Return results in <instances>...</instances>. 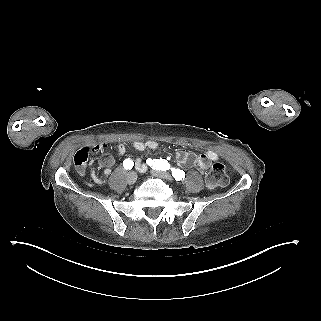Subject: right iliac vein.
Wrapping results in <instances>:
<instances>
[{"label":"right iliac vein","mask_w":321,"mask_h":321,"mask_svg":"<svg viewBox=\"0 0 321 321\" xmlns=\"http://www.w3.org/2000/svg\"><path fill=\"white\" fill-rule=\"evenodd\" d=\"M137 180V173L136 172H129L127 175V182L129 184H134Z\"/></svg>","instance_id":"63e3f726"}]
</instances>
